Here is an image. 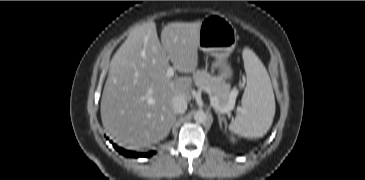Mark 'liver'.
<instances>
[{
	"instance_id": "1",
	"label": "liver",
	"mask_w": 365,
	"mask_h": 180,
	"mask_svg": "<svg viewBox=\"0 0 365 180\" xmlns=\"http://www.w3.org/2000/svg\"><path fill=\"white\" fill-rule=\"evenodd\" d=\"M201 21L169 23L159 41L156 25L147 22L129 32L114 54L101 98L107 134L123 145L148 147L163 140L174 123V96L191 100L192 78H168L171 62L182 73L198 65Z\"/></svg>"
}]
</instances>
